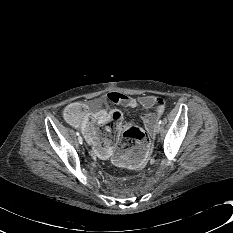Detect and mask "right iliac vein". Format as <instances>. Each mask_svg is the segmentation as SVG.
<instances>
[{
	"label": "right iliac vein",
	"instance_id": "right-iliac-vein-1",
	"mask_svg": "<svg viewBox=\"0 0 233 233\" xmlns=\"http://www.w3.org/2000/svg\"><path fill=\"white\" fill-rule=\"evenodd\" d=\"M78 142H79L80 144H82V143H83V139H82V137H81V136H79V137H78Z\"/></svg>",
	"mask_w": 233,
	"mask_h": 233
}]
</instances>
